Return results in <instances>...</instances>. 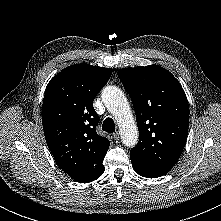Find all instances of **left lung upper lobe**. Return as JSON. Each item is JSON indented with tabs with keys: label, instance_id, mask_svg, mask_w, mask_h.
I'll return each mask as SVG.
<instances>
[{
	"label": "left lung upper lobe",
	"instance_id": "left-lung-upper-lobe-1",
	"mask_svg": "<svg viewBox=\"0 0 221 221\" xmlns=\"http://www.w3.org/2000/svg\"><path fill=\"white\" fill-rule=\"evenodd\" d=\"M117 75L132 100L139 129L130 156L173 167L184 149L189 123L188 101L180 83L158 65L123 68Z\"/></svg>",
	"mask_w": 221,
	"mask_h": 221
}]
</instances>
